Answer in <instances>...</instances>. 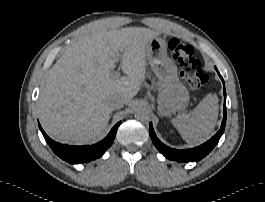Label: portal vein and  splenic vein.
<instances>
[{
  "label": "portal vein and splenic vein",
  "instance_id": "portal-vein-and-splenic-vein-1",
  "mask_svg": "<svg viewBox=\"0 0 265 202\" xmlns=\"http://www.w3.org/2000/svg\"><path fill=\"white\" fill-rule=\"evenodd\" d=\"M121 58L119 57V55L117 56V61H119ZM112 78H118L120 76V72L116 71L114 72L112 75Z\"/></svg>",
  "mask_w": 265,
  "mask_h": 202
}]
</instances>
